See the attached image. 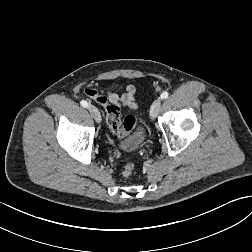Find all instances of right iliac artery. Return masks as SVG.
<instances>
[{"label": "right iliac artery", "instance_id": "right-iliac-artery-1", "mask_svg": "<svg viewBox=\"0 0 252 252\" xmlns=\"http://www.w3.org/2000/svg\"><path fill=\"white\" fill-rule=\"evenodd\" d=\"M80 104H81V106H83L84 108H87V107H88V103H87V101H85V100H82V101L80 102Z\"/></svg>", "mask_w": 252, "mask_h": 252}]
</instances>
